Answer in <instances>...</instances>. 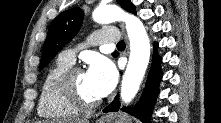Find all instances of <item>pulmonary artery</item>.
I'll list each match as a JSON object with an SVG mask.
<instances>
[{
	"label": "pulmonary artery",
	"instance_id": "e3ab8cb5",
	"mask_svg": "<svg viewBox=\"0 0 221 123\" xmlns=\"http://www.w3.org/2000/svg\"><path fill=\"white\" fill-rule=\"evenodd\" d=\"M91 41L93 44H106L119 41V34L115 28H103L93 33ZM60 58L73 63L75 60L74 50H65L60 54Z\"/></svg>",
	"mask_w": 221,
	"mask_h": 123
}]
</instances>
